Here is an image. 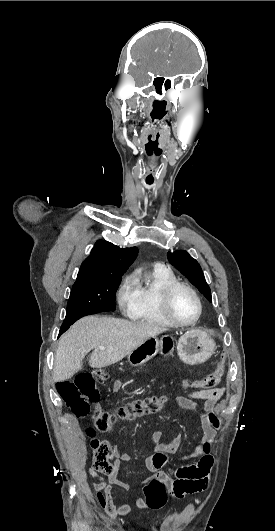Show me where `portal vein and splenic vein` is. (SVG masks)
Instances as JSON below:
<instances>
[{"instance_id": "portal-vein-and-splenic-vein-1", "label": "portal vein and splenic vein", "mask_w": 275, "mask_h": 531, "mask_svg": "<svg viewBox=\"0 0 275 531\" xmlns=\"http://www.w3.org/2000/svg\"><path fill=\"white\" fill-rule=\"evenodd\" d=\"M100 351H105V347H99Z\"/></svg>"}]
</instances>
